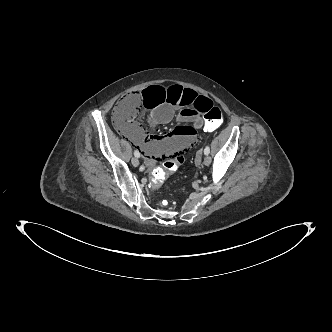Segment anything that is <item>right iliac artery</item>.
Listing matches in <instances>:
<instances>
[{"label": "right iliac artery", "mask_w": 332, "mask_h": 332, "mask_svg": "<svg viewBox=\"0 0 332 332\" xmlns=\"http://www.w3.org/2000/svg\"><path fill=\"white\" fill-rule=\"evenodd\" d=\"M134 155H135V157L139 158V157H140V152L137 151V150H135V151H134Z\"/></svg>", "instance_id": "82829eb1"}]
</instances>
